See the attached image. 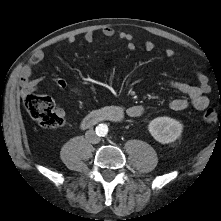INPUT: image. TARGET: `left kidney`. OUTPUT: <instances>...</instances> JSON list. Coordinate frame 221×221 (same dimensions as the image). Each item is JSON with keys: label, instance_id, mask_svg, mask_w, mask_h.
Here are the masks:
<instances>
[{"label": "left kidney", "instance_id": "1", "mask_svg": "<svg viewBox=\"0 0 221 221\" xmlns=\"http://www.w3.org/2000/svg\"><path fill=\"white\" fill-rule=\"evenodd\" d=\"M148 130L156 141L168 144L181 136L183 125L173 118L164 116L153 119L148 125Z\"/></svg>", "mask_w": 221, "mask_h": 221}]
</instances>
